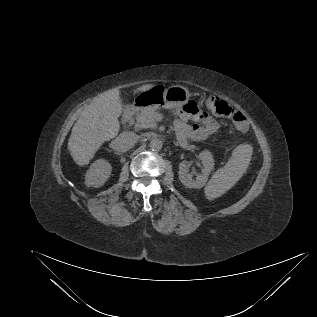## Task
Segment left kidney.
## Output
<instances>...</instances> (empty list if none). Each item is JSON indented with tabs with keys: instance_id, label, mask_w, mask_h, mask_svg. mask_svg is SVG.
<instances>
[{
	"instance_id": "1",
	"label": "left kidney",
	"mask_w": 317,
	"mask_h": 317,
	"mask_svg": "<svg viewBox=\"0 0 317 317\" xmlns=\"http://www.w3.org/2000/svg\"><path fill=\"white\" fill-rule=\"evenodd\" d=\"M199 158L202 162L203 169L201 174L197 175L196 179H193L192 175L187 172V167H188L187 161H182L179 164V172H178L179 180L184 186L188 188L200 189L203 186H205L208 180V176L214 168V159L211 152H209L208 150H204L199 154Z\"/></svg>"
}]
</instances>
